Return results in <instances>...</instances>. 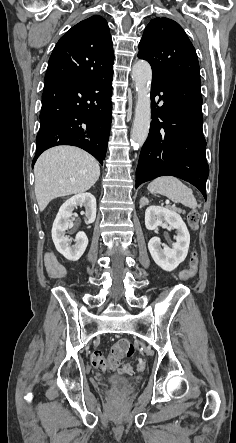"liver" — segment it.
Masks as SVG:
<instances>
[{
    "label": "liver",
    "instance_id": "obj_1",
    "mask_svg": "<svg viewBox=\"0 0 236 443\" xmlns=\"http://www.w3.org/2000/svg\"><path fill=\"white\" fill-rule=\"evenodd\" d=\"M35 195L40 211L51 200L89 190L100 176L99 163L90 154L73 146L45 151L34 166Z\"/></svg>",
    "mask_w": 236,
    "mask_h": 443
}]
</instances>
